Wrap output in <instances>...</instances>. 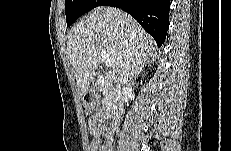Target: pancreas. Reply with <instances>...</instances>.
I'll use <instances>...</instances> for the list:
<instances>
[{
  "instance_id": "1",
  "label": "pancreas",
  "mask_w": 231,
  "mask_h": 151,
  "mask_svg": "<svg viewBox=\"0 0 231 151\" xmlns=\"http://www.w3.org/2000/svg\"><path fill=\"white\" fill-rule=\"evenodd\" d=\"M100 88L104 96L103 103L106 106V109H109L115 101L116 90L114 86L106 80H103V82L100 83Z\"/></svg>"
}]
</instances>
